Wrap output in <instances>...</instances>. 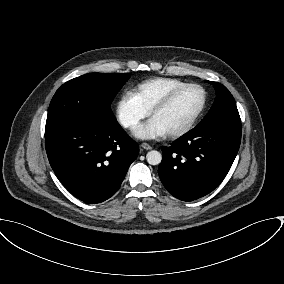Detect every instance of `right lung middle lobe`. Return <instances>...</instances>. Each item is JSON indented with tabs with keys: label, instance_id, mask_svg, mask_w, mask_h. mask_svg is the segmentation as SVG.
<instances>
[{
	"label": "right lung middle lobe",
	"instance_id": "dd1d6c3e",
	"mask_svg": "<svg viewBox=\"0 0 284 284\" xmlns=\"http://www.w3.org/2000/svg\"><path fill=\"white\" fill-rule=\"evenodd\" d=\"M129 77L128 73H90L69 80L51 100L45 132L70 121L114 120L110 104Z\"/></svg>",
	"mask_w": 284,
	"mask_h": 284
}]
</instances>
